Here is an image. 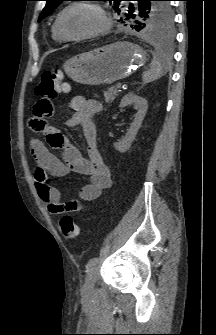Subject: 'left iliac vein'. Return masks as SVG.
<instances>
[{
  "instance_id": "1",
  "label": "left iliac vein",
  "mask_w": 216,
  "mask_h": 335,
  "mask_svg": "<svg viewBox=\"0 0 216 335\" xmlns=\"http://www.w3.org/2000/svg\"><path fill=\"white\" fill-rule=\"evenodd\" d=\"M96 279H97V268L95 267L92 269V271L90 272L85 281V284L83 285L82 288L83 295H89L93 293Z\"/></svg>"
}]
</instances>
